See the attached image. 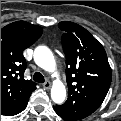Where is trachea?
Here are the masks:
<instances>
[{
  "mask_svg": "<svg viewBox=\"0 0 121 121\" xmlns=\"http://www.w3.org/2000/svg\"><path fill=\"white\" fill-rule=\"evenodd\" d=\"M33 80L38 83H44L45 81L44 76L40 72H36L33 75Z\"/></svg>",
  "mask_w": 121,
  "mask_h": 121,
  "instance_id": "trachea-1",
  "label": "trachea"
}]
</instances>
